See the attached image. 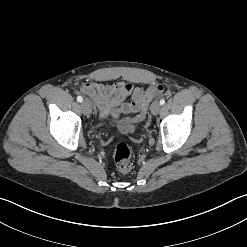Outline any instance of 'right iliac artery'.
<instances>
[{"label":"right iliac artery","instance_id":"1","mask_svg":"<svg viewBox=\"0 0 247 247\" xmlns=\"http://www.w3.org/2000/svg\"><path fill=\"white\" fill-rule=\"evenodd\" d=\"M77 101L81 103L83 101V98L81 96H78Z\"/></svg>","mask_w":247,"mask_h":247}]
</instances>
